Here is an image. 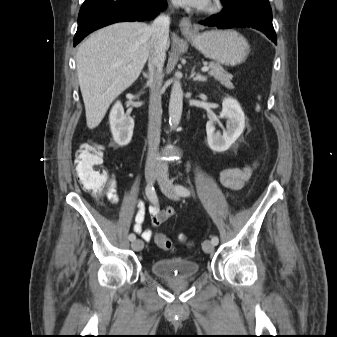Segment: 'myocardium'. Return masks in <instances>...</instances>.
Masks as SVG:
<instances>
[{
	"mask_svg": "<svg viewBox=\"0 0 337 337\" xmlns=\"http://www.w3.org/2000/svg\"><path fill=\"white\" fill-rule=\"evenodd\" d=\"M222 9L220 0H212L205 8V12L209 14L218 13Z\"/></svg>",
	"mask_w": 337,
	"mask_h": 337,
	"instance_id": "f54148a6",
	"label": "myocardium"
}]
</instances>
